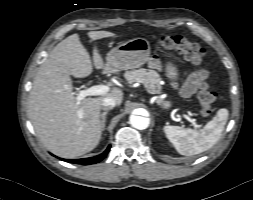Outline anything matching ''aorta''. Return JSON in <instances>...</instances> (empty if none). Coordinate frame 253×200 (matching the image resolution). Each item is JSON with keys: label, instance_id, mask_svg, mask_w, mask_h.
I'll list each match as a JSON object with an SVG mask.
<instances>
[{"label": "aorta", "instance_id": "obj_1", "mask_svg": "<svg viewBox=\"0 0 253 200\" xmlns=\"http://www.w3.org/2000/svg\"><path fill=\"white\" fill-rule=\"evenodd\" d=\"M130 124L136 129L144 130L148 128L150 120L143 116L131 115Z\"/></svg>", "mask_w": 253, "mask_h": 200}]
</instances>
